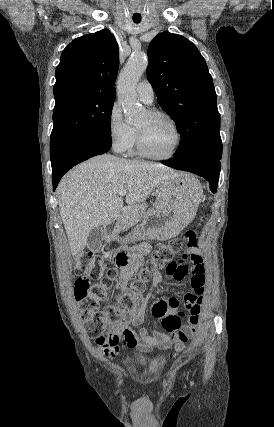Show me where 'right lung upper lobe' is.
Listing matches in <instances>:
<instances>
[{"instance_id": "obj_1", "label": "right lung upper lobe", "mask_w": 274, "mask_h": 427, "mask_svg": "<svg viewBox=\"0 0 274 427\" xmlns=\"http://www.w3.org/2000/svg\"><path fill=\"white\" fill-rule=\"evenodd\" d=\"M119 48L113 34L103 29L73 40L56 68L55 104L68 97L115 96Z\"/></svg>"}]
</instances>
